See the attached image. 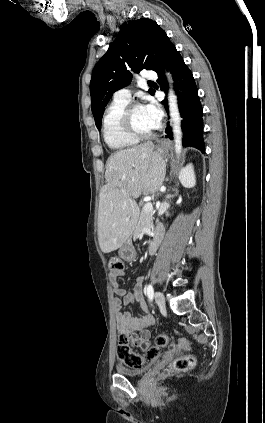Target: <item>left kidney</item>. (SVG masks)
<instances>
[{
  "mask_svg": "<svg viewBox=\"0 0 265 423\" xmlns=\"http://www.w3.org/2000/svg\"><path fill=\"white\" fill-rule=\"evenodd\" d=\"M180 181L182 185L186 188L194 187L196 184L195 173L193 165L189 164L180 173Z\"/></svg>",
  "mask_w": 265,
  "mask_h": 423,
  "instance_id": "left-kidney-1",
  "label": "left kidney"
}]
</instances>
